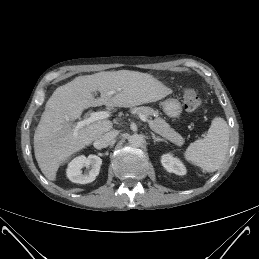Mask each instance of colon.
<instances>
[{
	"label": "colon",
	"mask_w": 259,
	"mask_h": 259,
	"mask_svg": "<svg viewBox=\"0 0 259 259\" xmlns=\"http://www.w3.org/2000/svg\"><path fill=\"white\" fill-rule=\"evenodd\" d=\"M184 108L188 112H197L202 105L198 92L195 89L188 88L183 95Z\"/></svg>",
	"instance_id": "5ec220e1"
}]
</instances>
